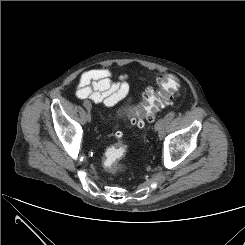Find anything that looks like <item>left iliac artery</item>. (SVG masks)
Returning <instances> with one entry per match:
<instances>
[{"mask_svg": "<svg viewBox=\"0 0 245 245\" xmlns=\"http://www.w3.org/2000/svg\"><path fill=\"white\" fill-rule=\"evenodd\" d=\"M175 117V112H169L165 117H164V125L162 128L163 134H165V130L169 122Z\"/></svg>", "mask_w": 245, "mask_h": 245, "instance_id": "1", "label": "left iliac artery"}]
</instances>
